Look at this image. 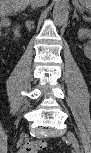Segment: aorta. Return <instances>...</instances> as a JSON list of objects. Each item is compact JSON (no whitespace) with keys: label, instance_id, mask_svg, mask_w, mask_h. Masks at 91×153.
<instances>
[{"label":"aorta","instance_id":"1","mask_svg":"<svg viewBox=\"0 0 91 153\" xmlns=\"http://www.w3.org/2000/svg\"><path fill=\"white\" fill-rule=\"evenodd\" d=\"M68 17V0H55L53 19L57 25H62Z\"/></svg>","mask_w":91,"mask_h":153}]
</instances>
